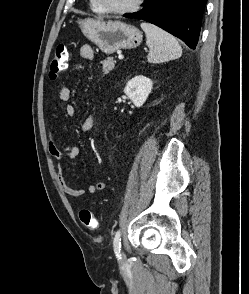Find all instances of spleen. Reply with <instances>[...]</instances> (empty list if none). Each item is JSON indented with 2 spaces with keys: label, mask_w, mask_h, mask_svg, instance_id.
<instances>
[{
  "label": "spleen",
  "mask_w": 249,
  "mask_h": 294,
  "mask_svg": "<svg viewBox=\"0 0 249 294\" xmlns=\"http://www.w3.org/2000/svg\"><path fill=\"white\" fill-rule=\"evenodd\" d=\"M149 47L147 60L150 63H162L179 58L182 48L178 41L163 29L147 22L141 23Z\"/></svg>",
  "instance_id": "spleen-1"
}]
</instances>
